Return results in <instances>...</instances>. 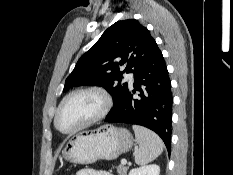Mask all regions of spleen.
Returning a JSON list of instances; mask_svg holds the SVG:
<instances>
[{
	"mask_svg": "<svg viewBox=\"0 0 233 175\" xmlns=\"http://www.w3.org/2000/svg\"><path fill=\"white\" fill-rule=\"evenodd\" d=\"M139 149L135 153V163L145 165L156 159L162 152L164 144L153 131L138 125L132 126Z\"/></svg>",
	"mask_w": 233,
	"mask_h": 175,
	"instance_id": "spleen-1",
	"label": "spleen"
}]
</instances>
